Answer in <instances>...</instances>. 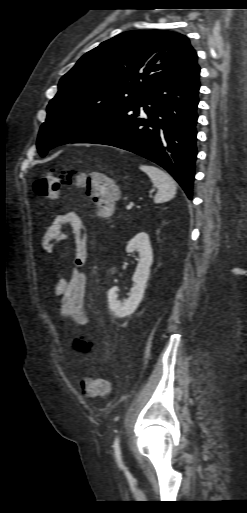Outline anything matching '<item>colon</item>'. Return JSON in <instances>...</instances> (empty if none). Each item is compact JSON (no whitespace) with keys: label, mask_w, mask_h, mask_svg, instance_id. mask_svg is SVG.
<instances>
[{"label":"colon","mask_w":247,"mask_h":513,"mask_svg":"<svg viewBox=\"0 0 247 513\" xmlns=\"http://www.w3.org/2000/svg\"><path fill=\"white\" fill-rule=\"evenodd\" d=\"M75 184L86 188L96 205L97 215L107 217L113 211L118 192L107 176L101 172L81 173L76 170L60 173L47 172L33 183V190L40 197L54 199L62 189ZM81 390L89 398H101L110 393L111 386L105 379L84 377L81 380Z\"/></svg>","instance_id":"5ec220e1"}]
</instances>
